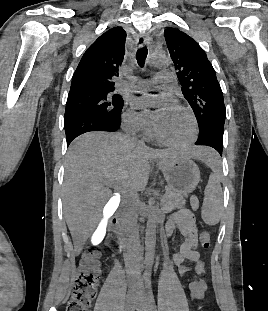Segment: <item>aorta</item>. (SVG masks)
I'll return each instance as SVG.
<instances>
[{
  "label": "aorta",
  "instance_id": "aorta-1",
  "mask_svg": "<svg viewBox=\"0 0 268 311\" xmlns=\"http://www.w3.org/2000/svg\"><path fill=\"white\" fill-rule=\"evenodd\" d=\"M148 65L151 68L163 67L165 65V60L162 56L157 54H152L149 57ZM155 201L153 198L149 200L148 207V220L145 233V267L149 273L154 259L155 245H156V223H157V211L154 206Z\"/></svg>",
  "mask_w": 268,
  "mask_h": 311
}]
</instances>
